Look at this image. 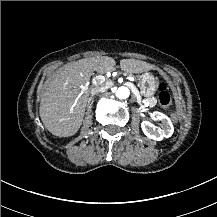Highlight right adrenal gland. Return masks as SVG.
<instances>
[{
    "label": "right adrenal gland",
    "instance_id": "1",
    "mask_svg": "<svg viewBox=\"0 0 217 217\" xmlns=\"http://www.w3.org/2000/svg\"><path fill=\"white\" fill-rule=\"evenodd\" d=\"M93 100H94V97H89L88 100H87V106H89L90 102L93 101Z\"/></svg>",
    "mask_w": 217,
    "mask_h": 217
}]
</instances>
